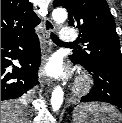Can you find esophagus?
Wrapping results in <instances>:
<instances>
[{"mask_svg":"<svg viewBox=\"0 0 122 123\" xmlns=\"http://www.w3.org/2000/svg\"><path fill=\"white\" fill-rule=\"evenodd\" d=\"M43 25H44L43 40H44V44H45L44 60H46L49 53L51 52V49H52V42L50 39V33L55 30V25L49 17H46L44 19ZM41 80L44 84H46L48 86L52 87L54 85L53 79L49 78L46 75H43L41 77Z\"/></svg>","mask_w":122,"mask_h":123,"instance_id":"obj_1","label":"esophagus"}]
</instances>
